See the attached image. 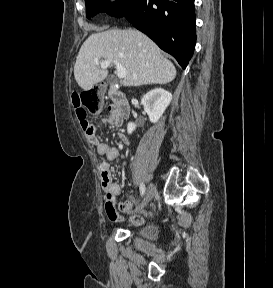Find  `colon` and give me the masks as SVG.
Listing matches in <instances>:
<instances>
[{
	"label": "colon",
	"instance_id": "obj_1",
	"mask_svg": "<svg viewBox=\"0 0 273 288\" xmlns=\"http://www.w3.org/2000/svg\"><path fill=\"white\" fill-rule=\"evenodd\" d=\"M73 105L83 130L90 126L89 115L98 114L103 108L100 90L97 88L74 92L72 95Z\"/></svg>",
	"mask_w": 273,
	"mask_h": 288
}]
</instances>
